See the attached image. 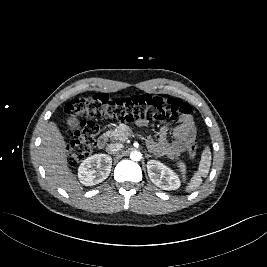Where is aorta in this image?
Here are the masks:
<instances>
[{
  "mask_svg": "<svg viewBox=\"0 0 267 267\" xmlns=\"http://www.w3.org/2000/svg\"><path fill=\"white\" fill-rule=\"evenodd\" d=\"M130 158H131V160H133V161H140L141 158H142V154H141V152H139V151H133V152H131V154H130Z\"/></svg>",
  "mask_w": 267,
  "mask_h": 267,
  "instance_id": "762f6f07",
  "label": "aorta"
}]
</instances>
